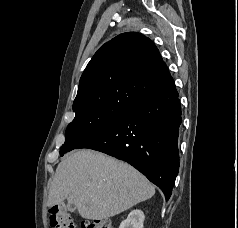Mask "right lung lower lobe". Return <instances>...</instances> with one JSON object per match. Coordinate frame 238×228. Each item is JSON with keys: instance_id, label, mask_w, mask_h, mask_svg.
I'll return each instance as SVG.
<instances>
[{"instance_id": "1", "label": "right lung lower lobe", "mask_w": 238, "mask_h": 228, "mask_svg": "<svg viewBox=\"0 0 238 228\" xmlns=\"http://www.w3.org/2000/svg\"><path fill=\"white\" fill-rule=\"evenodd\" d=\"M179 94L166 91L127 108L76 149L89 148L124 160L157 185L168 200L179 169Z\"/></svg>"}]
</instances>
